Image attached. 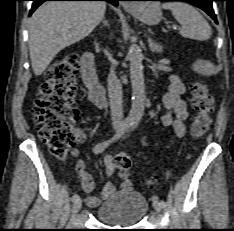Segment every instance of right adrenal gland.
Wrapping results in <instances>:
<instances>
[{
  "mask_svg": "<svg viewBox=\"0 0 234 231\" xmlns=\"http://www.w3.org/2000/svg\"><path fill=\"white\" fill-rule=\"evenodd\" d=\"M108 25H109V24H108L107 20H106L105 18H103L101 28H103V27H105V26H108Z\"/></svg>",
  "mask_w": 234,
  "mask_h": 231,
  "instance_id": "obj_1",
  "label": "right adrenal gland"
}]
</instances>
